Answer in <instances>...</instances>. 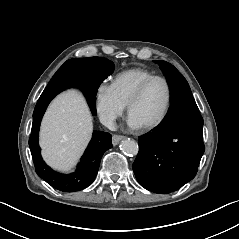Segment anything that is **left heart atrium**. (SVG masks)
Segmentation results:
<instances>
[{"mask_svg": "<svg viewBox=\"0 0 239 239\" xmlns=\"http://www.w3.org/2000/svg\"><path fill=\"white\" fill-rule=\"evenodd\" d=\"M128 122L132 129H139L142 127V125L132 115L129 116Z\"/></svg>", "mask_w": 239, "mask_h": 239, "instance_id": "left-heart-atrium-1", "label": "left heart atrium"}]
</instances>
